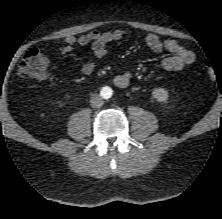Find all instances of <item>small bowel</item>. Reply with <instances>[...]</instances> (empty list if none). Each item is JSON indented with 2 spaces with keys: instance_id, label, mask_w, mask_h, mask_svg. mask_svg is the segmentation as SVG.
<instances>
[{
  "instance_id": "c3829d8e",
  "label": "small bowel",
  "mask_w": 222,
  "mask_h": 219,
  "mask_svg": "<svg viewBox=\"0 0 222 219\" xmlns=\"http://www.w3.org/2000/svg\"><path fill=\"white\" fill-rule=\"evenodd\" d=\"M122 38L123 32L121 30L105 32L92 31L79 37L69 35L63 41L62 51L68 53L74 46L89 45L95 59H101L107 53V45L111 42L119 41ZM145 42L146 45L156 53L167 52L170 54L162 61V67L168 71L181 70L191 65L195 60L194 53L175 40H161L157 34L149 33L145 37ZM95 68L96 61L94 59L89 60L82 66V73L91 75ZM132 76L131 71H125L116 75L113 82L117 87L125 88L130 84Z\"/></svg>"
}]
</instances>
